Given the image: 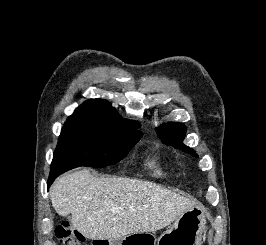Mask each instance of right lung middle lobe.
I'll return each instance as SVG.
<instances>
[{
  "mask_svg": "<svg viewBox=\"0 0 266 245\" xmlns=\"http://www.w3.org/2000/svg\"><path fill=\"white\" fill-rule=\"evenodd\" d=\"M139 125L90 117H69L59 136L50 173L87 166L103 168L122 160L139 141Z\"/></svg>",
  "mask_w": 266,
  "mask_h": 245,
  "instance_id": "right-lung-middle-lobe-1",
  "label": "right lung middle lobe"
}]
</instances>
